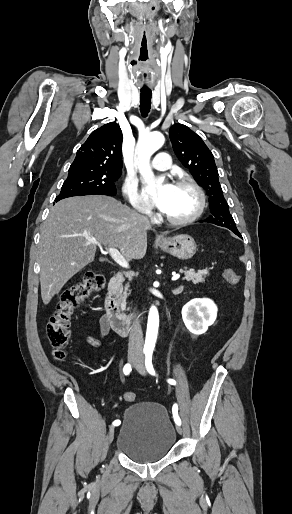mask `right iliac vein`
<instances>
[{"label":"right iliac vein","instance_id":"right-iliac-vein-1","mask_svg":"<svg viewBox=\"0 0 292 514\" xmlns=\"http://www.w3.org/2000/svg\"><path fill=\"white\" fill-rule=\"evenodd\" d=\"M129 362L132 363L133 365L136 364V362L138 361V358L134 355H131L129 356ZM114 426H111L109 428V433H108V443L110 444L112 441H113V438H114Z\"/></svg>","mask_w":292,"mask_h":514}]
</instances>
